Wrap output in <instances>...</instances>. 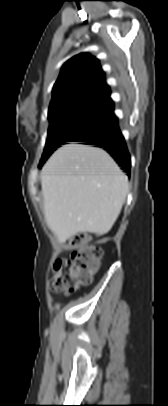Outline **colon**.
I'll use <instances>...</instances> for the list:
<instances>
[{"label": "colon", "mask_w": 168, "mask_h": 406, "mask_svg": "<svg viewBox=\"0 0 168 406\" xmlns=\"http://www.w3.org/2000/svg\"><path fill=\"white\" fill-rule=\"evenodd\" d=\"M66 245L70 258L57 260L53 267L50 289L55 293L72 292L91 283L102 256L101 249L89 244L86 235L81 233L71 236Z\"/></svg>", "instance_id": "5ec220e1"}]
</instances>
